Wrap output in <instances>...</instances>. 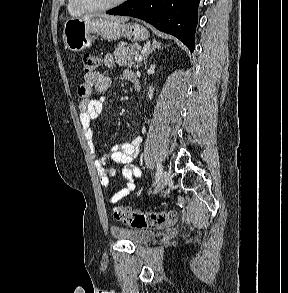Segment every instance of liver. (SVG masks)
<instances>
[{"instance_id": "liver-1", "label": "liver", "mask_w": 288, "mask_h": 293, "mask_svg": "<svg viewBox=\"0 0 288 293\" xmlns=\"http://www.w3.org/2000/svg\"><path fill=\"white\" fill-rule=\"evenodd\" d=\"M95 17H100V18H104L107 20L116 21L119 23L125 22L129 19L128 17L110 16V15H105V14L88 15V16H84L83 18L88 19V18H95Z\"/></svg>"}]
</instances>
